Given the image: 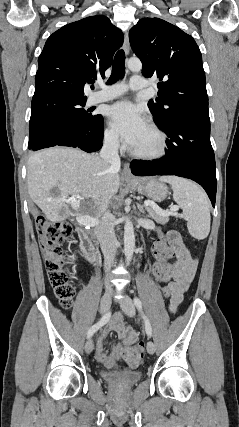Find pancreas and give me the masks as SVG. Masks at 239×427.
<instances>
[{
  "mask_svg": "<svg viewBox=\"0 0 239 427\" xmlns=\"http://www.w3.org/2000/svg\"><path fill=\"white\" fill-rule=\"evenodd\" d=\"M146 210L149 214V217H151L154 221H156L159 224L165 225L169 221V216H163L159 214L150 206L146 207Z\"/></svg>",
  "mask_w": 239,
  "mask_h": 427,
  "instance_id": "obj_1",
  "label": "pancreas"
}]
</instances>
